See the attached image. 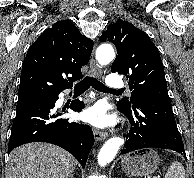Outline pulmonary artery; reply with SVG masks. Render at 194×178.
Masks as SVG:
<instances>
[{
    "mask_svg": "<svg viewBox=\"0 0 194 178\" xmlns=\"http://www.w3.org/2000/svg\"><path fill=\"white\" fill-rule=\"evenodd\" d=\"M106 84L111 89L122 88L125 85L122 78L117 74H110L106 79Z\"/></svg>",
    "mask_w": 194,
    "mask_h": 178,
    "instance_id": "pulmonary-artery-1",
    "label": "pulmonary artery"
}]
</instances>
